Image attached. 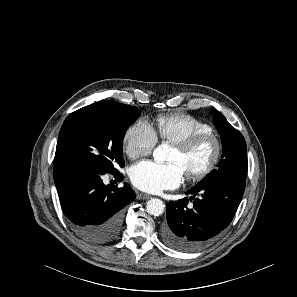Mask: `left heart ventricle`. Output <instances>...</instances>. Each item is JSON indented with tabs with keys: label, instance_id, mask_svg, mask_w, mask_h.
Returning <instances> with one entry per match:
<instances>
[{
	"label": "left heart ventricle",
	"instance_id": "left-heart-ventricle-1",
	"mask_svg": "<svg viewBox=\"0 0 297 297\" xmlns=\"http://www.w3.org/2000/svg\"><path fill=\"white\" fill-rule=\"evenodd\" d=\"M215 147L212 141H206L191 152L182 153L176 147L170 152L168 161L182 166L185 174L201 171L212 159Z\"/></svg>",
	"mask_w": 297,
	"mask_h": 297
}]
</instances>
